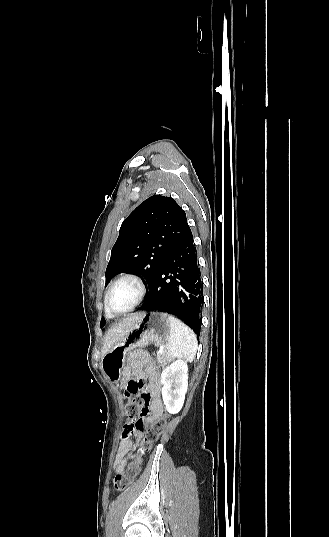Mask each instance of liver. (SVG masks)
I'll return each mask as SVG.
<instances>
[{
	"label": "liver",
	"instance_id": "1",
	"mask_svg": "<svg viewBox=\"0 0 329 537\" xmlns=\"http://www.w3.org/2000/svg\"><path fill=\"white\" fill-rule=\"evenodd\" d=\"M139 314L123 319L119 324L109 329L104 336L102 355L104 356L122 337L134 326Z\"/></svg>",
	"mask_w": 329,
	"mask_h": 537
}]
</instances>
